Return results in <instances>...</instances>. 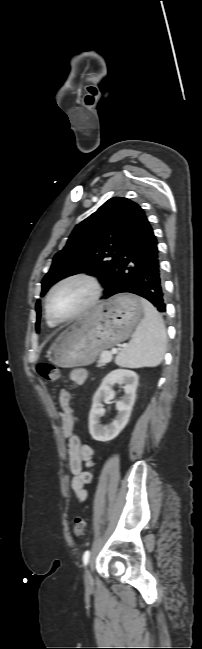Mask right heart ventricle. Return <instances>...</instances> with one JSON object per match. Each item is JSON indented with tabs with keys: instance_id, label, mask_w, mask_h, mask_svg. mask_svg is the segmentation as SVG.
Returning a JSON list of instances; mask_svg holds the SVG:
<instances>
[{
	"instance_id": "1",
	"label": "right heart ventricle",
	"mask_w": 202,
	"mask_h": 649,
	"mask_svg": "<svg viewBox=\"0 0 202 649\" xmlns=\"http://www.w3.org/2000/svg\"><path fill=\"white\" fill-rule=\"evenodd\" d=\"M46 320L49 326H55V323H53L47 316H46Z\"/></svg>"
}]
</instances>
